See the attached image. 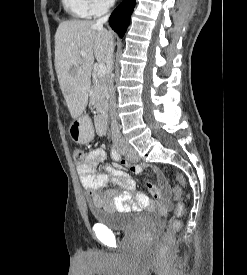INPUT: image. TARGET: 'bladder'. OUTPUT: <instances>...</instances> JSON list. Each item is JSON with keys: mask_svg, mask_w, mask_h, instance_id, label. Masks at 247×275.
<instances>
[{"mask_svg": "<svg viewBox=\"0 0 247 275\" xmlns=\"http://www.w3.org/2000/svg\"><path fill=\"white\" fill-rule=\"evenodd\" d=\"M89 210L97 224L118 232H128L137 225H157L162 220L160 215L150 212H144L138 219H135L133 212H111L94 205H90Z\"/></svg>", "mask_w": 247, "mask_h": 275, "instance_id": "bladder-1", "label": "bladder"}]
</instances>
